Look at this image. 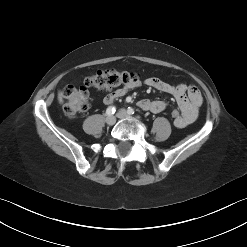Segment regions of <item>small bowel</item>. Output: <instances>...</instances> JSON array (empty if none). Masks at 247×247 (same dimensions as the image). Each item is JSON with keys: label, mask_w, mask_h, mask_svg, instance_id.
Returning <instances> with one entry per match:
<instances>
[{"label": "small bowel", "mask_w": 247, "mask_h": 247, "mask_svg": "<svg viewBox=\"0 0 247 247\" xmlns=\"http://www.w3.org/2000/svg\"><path fill=\"white\" fill-rule=\"evenodd\" d=\"M144 84L158 91L170 94L175 98L181 110L180 118L174 121V125L177 128H185L197 119L198 109L203 103V97L196 87L183 83L173 85L156 77L145 79ZM140 85L141 82L136 79L128 85L107 94L103 98V102L106 105H110L115 100L124 96L130 90L135 89ZM138 106L144 111L160 113L166 109L167 104L162 100L141 99L138 101Z\"/></svg>", "instance_id": "c3829d8e"}]
</instances>
